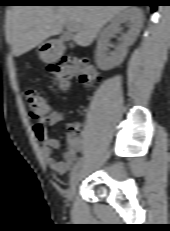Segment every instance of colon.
I'll return each instance as SVG.
<instances>
[{
  "mask_svg": "<svg viewBox=\"0 0 170 231\" xmlns=\"http://www.w3.org/2000/svg\"><path fill=\"white\" fill-rule=\"evenodd\" d=\"M48 70L63 89L68 87L69 81L74 77L79 78L85 86H92L101 80L97 67L88 59L78 56H63L57 62L49 65ZM26 97L32 117L41 118L50 113L49 104L38 91H27ZM79 137L80 130L77 127L68 128L67 140L69 144L78 140Z\"/></svg>",
  "mask_w": 170,
  "mask_h": 231,
  "instance_id": "colon-1",
  "label": "colon"
}]
</instances>
